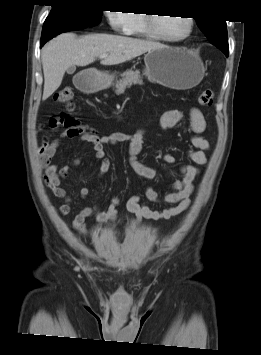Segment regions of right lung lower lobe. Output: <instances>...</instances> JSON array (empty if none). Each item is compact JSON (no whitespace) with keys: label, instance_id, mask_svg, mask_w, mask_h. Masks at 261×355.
<instances>
[{"label":"right lung lower lobe","instance_id":"obj_1","mask_svg":"<svg viewBox=\"0 0 261 355\" xmlns=\"http://www.w3.org/2000/svg\"><path fill=\"white\" fill-rule=\"evenodd\" d=\"M85 24L70 20V19H62L53 22H44L42 35H41V43L40 47H42L49 39H52L54 36L61 34L67 31H75L87 28Z\"/></svg>","mask_w":261,"mask_h":355}]
</instances>
